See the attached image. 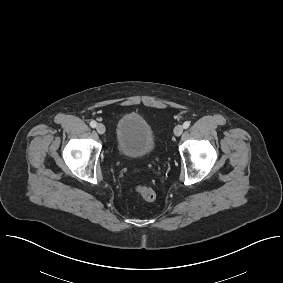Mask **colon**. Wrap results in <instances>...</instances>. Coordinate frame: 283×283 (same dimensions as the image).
<instances>
[{
	"label": "colon",
	"mask_w": 283,
	"mask_h": 283,
	"mask_svg": "<svg viewBox=\"0 0 283 283\" xmlns=\"http://www.w3.org/2000/svg\"><path fill=\"white\" fill-rule=\"evenodd\" d=\"M137 193L147 201H153L156 199L157 193L155 189L147 183H139L136 185Z\"/></svg>",
	"instance_id": "5ec220e1"
}]
</instances>
